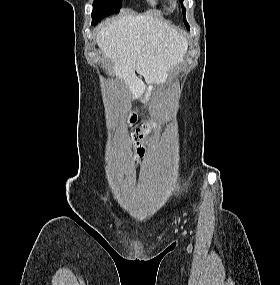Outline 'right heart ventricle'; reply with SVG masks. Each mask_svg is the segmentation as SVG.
<instances>
[{
	"label": "right heart ventricle",
	"mask_w": 280,
	"mask_h": 285,
	"mask_svg": "<svg viewBox=\"0 0 280 285\" xmlns=\"http://www.w3.org/2000/svg\"><path fill=\"white\" fill-rule=\"evenodd\" d=\"M163 7H164V8H167V7H168V5H167V4H163Z\"/></svg>",
	"instance_id": "right-heart-ventricle-1"
}]
</instances>
